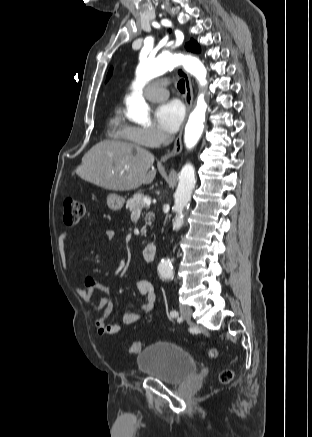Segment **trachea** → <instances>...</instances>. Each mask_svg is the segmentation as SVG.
<instances>
[{
	"label": "trachea",
	"instance_id": "trachea-1",
	"mask_svg": "<svg viewBox=\"0 0 312 437\" xmlns=\"http://www.w3.org/2000/svg\"><path fill=\"white\" fill-rule=\"evenodd\" d=\"M177 87H178V89H179L180 92H185V83H184V80H183V79H181V80L178 82Z\"/></svg>",
	"mask_w": 312,
	"mask_h": 437
}]
</instances>
